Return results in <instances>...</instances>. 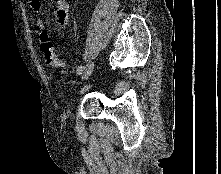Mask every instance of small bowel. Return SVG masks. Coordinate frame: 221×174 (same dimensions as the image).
<instances>
[{
    "instance_id": "small-bowel-1",
    "label": "small bowel",
    "mask_w": 221,
    "mask_h": 174,
    "mask_svg": "<svg viewBox=\"0 0 221 174\" xmlns=\"http://www.w3.org/2000/svg\"><path fill=\"white\" fill-rule=\"evenodd\" d=\"M42 1L43 0H30V7L36 16V25L38 29L40 31L47 29L51 33L64 30L68 25L69 2L67 0H55V5L51 12V17L55 20V28L50 29L39 16L42 10Z\"/></svg>"
}]
</instances>
